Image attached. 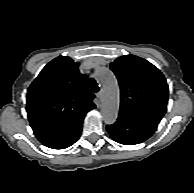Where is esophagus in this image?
I'll use <instances>...</instances> for the list:
<instances>
[{"mask_svg": "<svg viewBox=\"0 0 194 193\" xmlns=\"http://www.w3.org/2000/svg\"><path fill=\"white\" fill-rule=\"evenodd\" d=\"M97 97H98L99 100L102 99V97H103V91L102 90L99 91V93L97 94Z\"/></svg>", "mask_w": 194, "mask_h": 193, "instance_id": "obj_1", "label": "esophagus"}]
</instances>
